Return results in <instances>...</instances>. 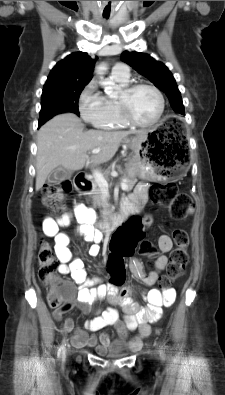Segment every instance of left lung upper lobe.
Masks as SVG:
<instances>
[{"mask_svg": "<svg viewBox=\"0 0 225 395\" xmlns=\"http://www.w3.org/2000/svg\"><path fill=\"white\" fill-rule=\"evenodd\" d=\"M121 59L163 91L175 112L184 114V105L178 86L173 75L163 63L140 52L124 51L121 54Z\"/></svg>", "mask_w": 225, "mask_h": 395, "instance_id": "left-lung-upper-lobe-1", "label": "left lung upper lobe"}]
</instances>
